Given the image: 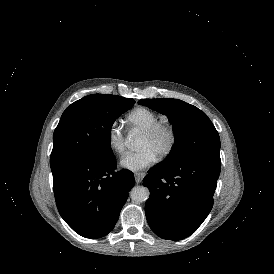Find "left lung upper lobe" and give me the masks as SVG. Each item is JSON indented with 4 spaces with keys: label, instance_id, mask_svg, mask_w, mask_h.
I'll list each match as a JSON object with an SVG mask.
<instances>
[{
    "label": "left lung upper lobe",
    "instance_id": "1",
    "mask_svg": "<svg viewBox=\"0 0 274 274\" xmlns=\"http://www.w3.org/2000/svg\"><path fill=\"white\" fill-rule=\"evenodd\" d=\"M166 115L173 125L175 143L162 165H176L198 156L220 157V138L207 115L197 107L171 98L138 102Z\"/></svg>",
    "mask_w": 274,
    "mask_h": 274
}]
</instances>
